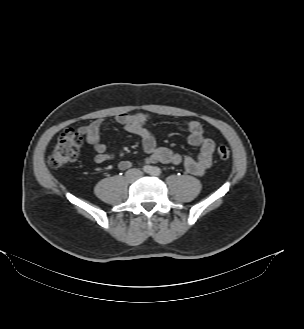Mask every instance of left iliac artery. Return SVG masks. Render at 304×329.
<instances>
[{
	"label": "left iliac artery",
	"mask_w": 304,
	"mask_h": 329,
	"mask_svg": "<svg viewBox=\"0 0 304 329\" xmlns=\"http://www.w3.org/2000/svg\"><path fill=\"white\" fill-rule=\"evenodd\" d=\"M161 171L159 168L155 167L153 168V171H152V174L155 175V176H158L160 175Z\"/></svg>",
	"instance_id": "44dca946"
}]
</instances>
